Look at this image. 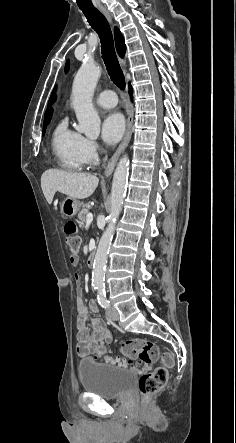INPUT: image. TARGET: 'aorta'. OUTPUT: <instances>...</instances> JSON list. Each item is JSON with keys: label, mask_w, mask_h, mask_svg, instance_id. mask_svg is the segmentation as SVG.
I'll list each match as a JSON object with an SVG mask.
<instances>
[{"label": "aorta", "mask_w": 236, "mask_h": 443, "mask_svg": "<svg viewBox=\"0 0 236 443\" xmlns=\"http://www.w3.org/2000/svg\"><path fill=\"white\" fill-rule=\"evenodd\" d=\"M100 75L101 68L99 66L92 62H85L78 70L72 86L71 105L78 120L77 131L89 138H97L100 134L101 121L92 103ZM128 174L129 160L127 155H124L119 160L113 175L109 224L99 241L93 263L92 283L99 288L104 287L107 257L115 224L126 194Z\"/></svg>", "instance_id": "aorta-1"}]
</instances>
